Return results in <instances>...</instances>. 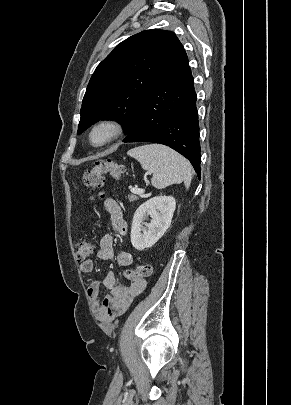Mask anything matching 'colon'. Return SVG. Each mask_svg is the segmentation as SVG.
<instances>
[{
  "label": "colon",
  "instance_id": "5ec220e1",
  "mask_svg": "<svg viewBox=\"0 0 291 405\" xmlns=\"http://www.w3.org/2000/svg\"><path fill=\"white\" fill-rule=\"evenodd\" d=\"M126 168L124 165L118 164L110 159L100 160L95 163L93 168L85 171L83 175V184L95 191L93 199L102 197L99 189L104 184L106 175H110L115 180H119L125 174ZM94 253V245L87 238H79L76 242V256L79 262H85ZM152 268L149 264L137 265L134 269L125 271V277L135 282L143 280L151 275Z\"/></svg>",
  "mask_w": 291,
  "mask_h": 405
}]
</instances>
